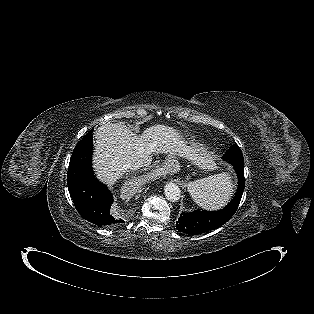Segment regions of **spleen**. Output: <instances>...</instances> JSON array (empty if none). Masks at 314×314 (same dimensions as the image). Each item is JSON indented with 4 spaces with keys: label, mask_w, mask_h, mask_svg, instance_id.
<instances>
[{
    "label": "spleen",
    "mask_w": 314,
    "mask_h": 314,
    "mask_svg": "<svg viewBox=\"0 0 314 314\" xmlns=\"http://www.w3.org/2000/svg\"><path fill=\"white\" fill-rule=\"evenodd\" d=\"M229 173H222L190 182L188 191L193 201L206 210H216L227 204L233 182Z\"/></svg>",
    "instance_id": "obj_1"
}]
</instances>
